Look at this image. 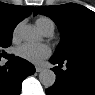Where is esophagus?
Here are the masks:
<instances>
[{"mask_svg":"<svg viewBox=\"0 0 95 95\" xmlns=\"http://www.w3.org/2000/svg\"><path fill=\"white\" fill-rule=\"evenodd\" d=\"M35 69H36V72H41L44 68L41 66H36Z\"/></svg>","mask_w":95,"mask_h":95,"instance_id":"esophagus-1","label":"esophagus"}]
</instances>
